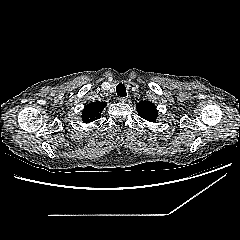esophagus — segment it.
Instances as JSON below:
<instances>
[{
    "mask_svg": "<svg viewBox=\"0 0 240 240\" xmlns=\"http://www.w3.org/2000/svg\"><path fill=\"white\" fill-rule=\"evenodd\" d=\"M118 101L124 103L127 101V97H118Z\"/></svg>",
    "mask_w": 240,
    "mask_h": 240,
    "instance_id": "esophagus-1",
    "label": "esophagus"
}]
</instances>
